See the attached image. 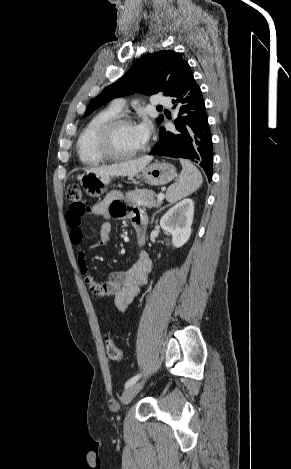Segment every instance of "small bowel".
Instances as JSON below:
<instances>
[{"instance_id": "1", "label": "small bowel", "mask_w": 291, "mask_h": 469, "mask_svg": "<svg viewBox=\"0 0 291 469\" xmlns=\"http://www.w3.org/2000/svg\"><path fill=\"white\" fill-rule=\"evenodd\" d=\"M90 212L104 220L100 227L99 240L91 244L93 248L105 246L110 242L112 226L108 220L111 218H128L136 229H142L144 233L146 231L147 216L139 209L126 205L118 191L110 192L101 202L94 205ZM83 216L85 215L72 207L67 211L66 221L70 229V241L74 246H80L83 241ZM79 266L90 292L100 299L112 298L116 309L124 312L141 288L148 283L152 262L147 252L142 251L127 270L112 272L105 283L97 282L90 274L82 251L79 253Z\"/></svg>"}]
</instances>
